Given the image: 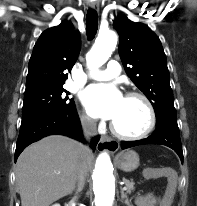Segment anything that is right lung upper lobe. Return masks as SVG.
<instances>
[{"mask_svg": "<svg viewBox=\"0 0 197 206\" xmlns=\"http://www.w3.org/2000/svg\"><path fill=\"white\" fill-rule=\"evenodd\" d=\"M80 52V38L69 22L44 31L29 61L26 89L63 85Z\"/></svg>", "mask_w": 197, "mask_h": 206, "instance_id": "obj_1", "label": "right lung upper lobe"}]
</instances>
